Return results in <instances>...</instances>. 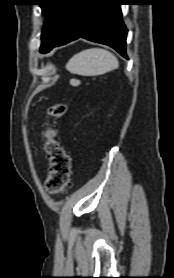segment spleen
I'll use <instances>...</instances> for the list:
<instances>
[{"label":"spleen","instance_id":"obj_1","mask_svg":"<svg viewBox=\"0 0 174 278\" xmlns=\"http://www.w3.org/2000/svg\"><path fill=\"white\" fill-rule=\"evenodd\" d=\"M118 66V59L111 52L91 48L74 55L66 64V69L81 76H96L112 71Z\"/></svg>","mask_w":174,"mask_h":278}]
</instances>
